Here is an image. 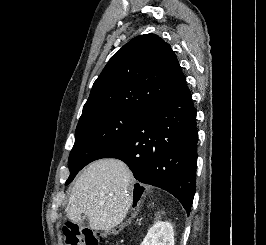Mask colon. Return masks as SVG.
Wrapping results in <instances>:
<instances>
[{
  "label": "colon",
  "mask_w": 266,
  "mask_h": 245,
  "mask_svg": "<svg viewBox=\"0 0 266 245\" xmlns=\"http://www.w3.org/2000/svg\"><path fill=\"white\" fill-rule=\"evenodd\" d=\"M65 245H101L103 235L69 221L61 230Z\"/></svg>",
  "instance_id": "1"
}]
</instances>
